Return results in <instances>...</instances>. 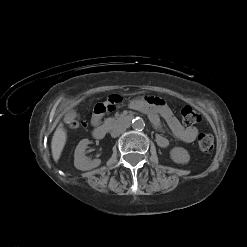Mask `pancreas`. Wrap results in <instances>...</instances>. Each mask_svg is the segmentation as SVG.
Returning a JSON list of instances; mask_svg holds the SVG:
<instances>
[{
	"mask_svg": "<svg viewBox=\"0 0 247 247\" xmlns=\"http://www.w3.org/2000/svg\"><path fill=\"white\" fill-rule=\"evenodd\" d=\"M109 120H106L105 123H108Z\"/></svg>",
	"mask_w": 247,
	"mask_h": 247,
	"instance_id": "1",
	"label": "pancreas"
}]
</instances>
